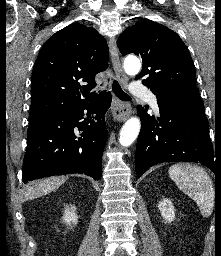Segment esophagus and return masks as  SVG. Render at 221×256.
<instances>
[{"instance_id":"34e87169","label":"esophagus","mask_w":221,"mask_h":256,"mask_svg":"<svg viewBox=\"0 0 221 256\" xmlns=\"http://www.w3.org/2000/svg\"><path fill=\"white\" fill-rule=\"evenodd\" d=\"M109 50L116 77L125 87L127 85L128 79L122 69L116 40L114 38H111L109 40ZM112 113L115 121L122 122L131 115V107L128 103L121 102L115 98L113 101Z\"/></svg>"}]
</instances>
